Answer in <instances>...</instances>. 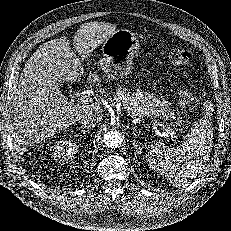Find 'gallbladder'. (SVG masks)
Masks as SVG:
<instances>
[{"mask_svg": "<svg viewBox=\"0 0 231 231\" xmlns=\"http://www.w3.org/2000/svg\"><path fill=\"white\" fill-rule=\"evenodd\" d=\"M62 80H63L62 78H59V80H58V81H59V82H62Z\"/></svg>", "mask_w": 231, "mask_h": 231, "instance_id": "1", "label": "gallbladder"}]
</instances>
